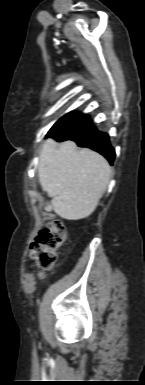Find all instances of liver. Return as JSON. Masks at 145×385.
<instances>
[{
  "label": "liver",
  "instance_id": "6515ba94",
  "mask_svg": "<svg viewBox=\"0 0 145 385\" xmlns=\"http://www.w3.org/2000/svg\"><path fill=\"white\" fill-rule=\"evenodd\" d=\"M38 177L43 191L53 198L51 208L67 220L90 216L111 177L108 162L88 148L68 140L47 139L40 150Z\"/></svg>",
  "mask_w": 145,
  "mask_h": 385
}]
</instances>
